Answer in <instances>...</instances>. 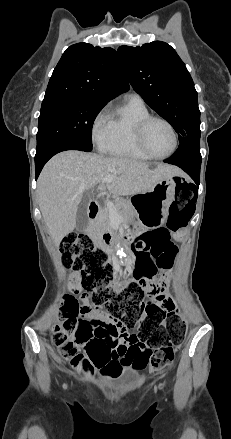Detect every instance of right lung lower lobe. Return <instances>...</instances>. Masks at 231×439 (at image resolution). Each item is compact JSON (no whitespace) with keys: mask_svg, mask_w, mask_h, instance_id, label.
<instances>
[{"mask_svg":"<svg viewBox=\"0 0 231 439\" xmlns=\"http://www.w3.org/2000/svg\"><path fill=\"white\" fill-rule=\"evenodd\" d=\"M65 150H80L85 152L91 151L74 142L59 141L55 143L54 145L50 146L49 149L44 153L35 156L36 179L39 176L45 163L55 154Z\"/></svg>","mask_w":231,"mask_h":439,"instance_id":"right-lung-lower-lobe-1","label":"right lung lower lobe"}]
</instances>
